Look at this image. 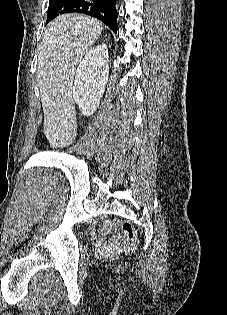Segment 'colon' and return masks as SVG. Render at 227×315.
Listing matches in <instances>:
<instances>
[{"instance_id": "1", "label": "colon", "mask_w": 227, "mask_h": 315, "mask_svg": "<svg viewBox=\"0 0 227 315\" xmlns=\"http://www.w3.org/2000/svg\"><path fill=\"white\" fill-rule=\"evenodd\" d=\"M121 238L129 250L136 248V233L133 224L124 220L120 222Z\"/></svg>"}]
</instances>
